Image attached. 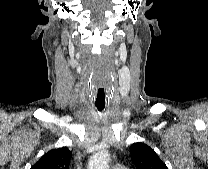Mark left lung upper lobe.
Returning <instances> with one entry per match:
<instances>
[{
    "mask_svg": "<svg viewBox=\"0 0 208 169\" xmlns=\"http://www.w3.org/2000/svg\"><path fill=\"white\" fill-rule=\"evenodd\" d=\"M130 153L137 169H168L155 151L146 144L140 142L132 144Z\"/></svg>",
    "mask_w": 208,
    "mask_h": 169,
    "instance_id": "left-lung-upper-lobe-1",
    "label": "left lung upper lobe"
}]
</instances>
